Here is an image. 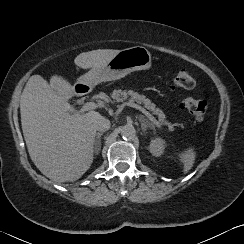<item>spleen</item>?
I'll return each mask as SVG.
<instances>
[{
    "label": "spleen",
    "instance_id": "spleen-1",
    "mask_svg": "<svg viewBox=\"0 0 244 244\" xmlns=\"http://www.w3.org/2000/svg\"><path fill=\"white\" fill-rule=\"evenodd\" d=\"M179 161L183 164V172L187 173L194 165L196 152L194 147L189 146L178 154Z\"/></svg>",
    "mask_w": 244,
    "mask_h": 244
}]
</instances>
